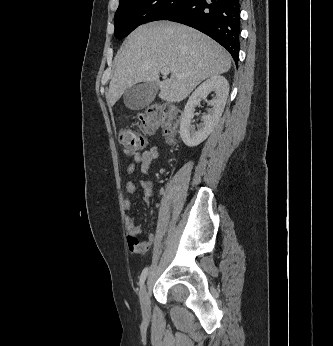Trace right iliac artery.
<instances>
[{"instance_id":"82829eb1","label":"right iliac artery","mask_w":333,"mask_h":346,"mask_svg":"<svg viewBox=\"0 0 333 346\" xmlns=\"http://www.w3.org/2000/svg\"><path fill=\"white\" fill-rule=\"evenodd\" d=\"M147 273H148V268H144V270L142 271L141 273V276H140V281H139V284L140 286H142L146 280V277H147Z\"/></svg>"}]
</instances>
